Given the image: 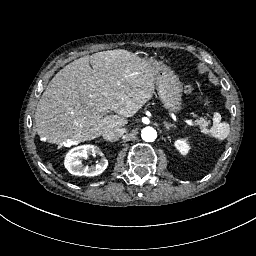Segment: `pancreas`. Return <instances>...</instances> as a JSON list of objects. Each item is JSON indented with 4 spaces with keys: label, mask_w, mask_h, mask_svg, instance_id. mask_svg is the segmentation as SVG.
Instances as JSON below:
<instances>
[{
    "label": "pancreas",
    "mask_w": 256,
    "mask_h": 256,
    "mask_svg": "<svg viewBox=\"0 0 256 256\" xmlns=\"http://www.w3.org/2000/svg\"><path fill=\"white\" fill-rule=\"evenodd\" d=\"M210 124V121H207L205 118L201 117L196 121V125L200 126V129L202 131L206 130V127Z\"/></svg>",
    "instance_id": "pancreas-1"
}]
</instances>
